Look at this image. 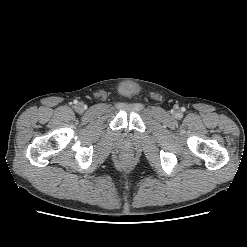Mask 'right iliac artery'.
<instances>
[{"label": "right iliac artery", "instance_id": "82829eb1", "mask_svg": "<svg viewBox=\"0 0 247 247\" xmlns=\"http://www.w3.org/2000/svg\"><path fill=\"white\" fill-rule=\"evenodd\" d=\"M74 103L76 104V103H77V101L75 100V101H74Z\"/></svg>", "mask_w": 247, "mask_h": 247}]
</instances>
